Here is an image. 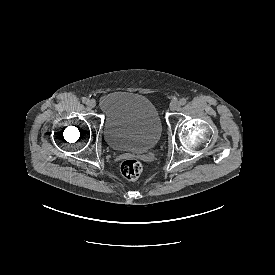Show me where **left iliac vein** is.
Returning a JSON list of instances; mask_svg holds the SVG:
<instances>
[{
    "label": "left iliac vein",
    "instance_id": "1",
    "mask_svg": "<svg viewBox=\"0 0 275 275\" xmlns=\"http://www.w3.org/2000/svg\"><path fill=\"white\" fill-rule=\"evenodd\" d=\"M180 108V103L178 102V101H172L171 103H170V109L172 110V111H176V110H178Z\"/></svg>",
    "mask_w": 275,
    "mask_h": 275
}]
</instances>
